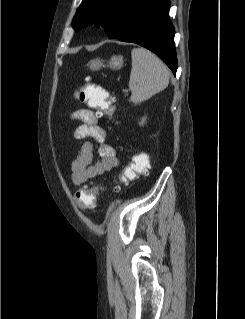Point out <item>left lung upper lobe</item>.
Returning a JSON list of instances; mask_svg holds the SVG:
<instances>
[{
    "instance_id": "1",
    "label": "left lung upper lobe",
    "mask_w": 245,
    "mask_h": 319,
    "mask_svg": "<svg viewBox=\"0 0 245 319\" xmlns=\"http://www.w3.org/2000/svg\"><path fill=\"white\" fill-rule=\"evenodd\" d=\"M145 0H83L73 18V27L80 30L88 24L104 26L115 38L132 11Z\"/></svg>"
}]
</instances>
